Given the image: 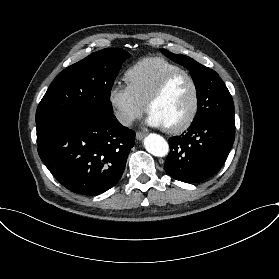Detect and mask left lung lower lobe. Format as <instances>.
Masks as SVG:
<instances>
[{
	"label": "left lung lower lobe",
	"mask_w": 279,
	"mask_h": 279,
	"mask_svg": "<svg viewBox=\"0 0 279 279\" xmlns=\"http://www.w3.org/2000/svg\"><path fill=\"white\" fill-rule=\"evenodd\" d=\"M234 138V119L208 116L192 122L184 134L169 138L165 171L182 182H201L220 170Z\"/></svg>",
	"instance_id": "1"
}]
</instances>
